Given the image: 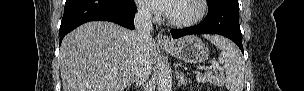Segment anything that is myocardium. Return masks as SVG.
Instances as JSON below:
<instances>
[{"instance_id":"f54148a6","label":"myocardium","mask_w":304,"mask_h":91,"mask_svg":"<svg viewBox=\"0 0 304 91\" xmlns=\"http://www.w3.org/2000/svg\"><path fill=\"white\" fill-rule=\"evenodd\" d=\"M195 1L198 5V13L193 18L186 20H174L170 18L168 14H166L167 22L172 26L180 27V28L190 27L201 22L207 13V1L206 0H195Z\"/></svg>"}]
</instances>
